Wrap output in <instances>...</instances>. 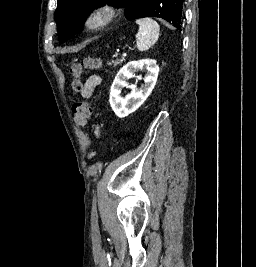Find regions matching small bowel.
<instances>
[{
  "label": "small bowel",
  "mask_w": 256,
  "mask_h": 267,
  "mask_svg": "<svg viewBox=\"0 0 256 267\" xmlns=\"http://www.w3.org/2000/svg\"><path fill=\"white\" fill-rule=\"evenodd\" d=\"M100 83L101 77L99 75H90L81 88V96L84 99L90 98L93 95L95 89L100 85ZM93 134L96 138L100 137V129L98 126L94 127Z\"/></svg>",
  "instance_id": "obj_1"
}]
</instances>
